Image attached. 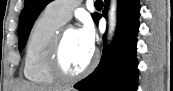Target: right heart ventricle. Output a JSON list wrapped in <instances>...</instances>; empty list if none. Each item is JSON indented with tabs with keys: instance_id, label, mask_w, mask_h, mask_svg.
Wrapping results in <instances>:
<instances>
[{
	"instance_id": "right-heart-ventricle-1",
	"label": "right heart ventricle",
	"mask_w": 173,
	"mask_h": 91,
	"mask_svg": "<svg viewBox=\"0 0 173 91\" xmlns=\"http://www.w3.org/2000/svg\"><path fill=\"white\" fill-rule=\"evenodd\" d=\"M63 25L48 9L34 22L27 40L23 67L24 76L31 82L40 85L56 82L48 73L45 60L52 39Z\"/></svg>"
}]
</instances>
